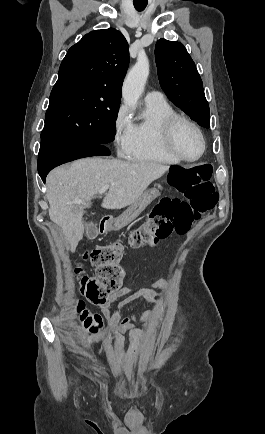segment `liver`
I'll return each mask as SVG.
<instances>
[{
	"mask_svg": "<svg viewBox=\"0 0 265 434\" xmlns=\"http://www.w3.org/2000/svg\"><path fill=\"white\" fill-rule=\"evenodd\" d=\"M169 168L162 164L103 158H84L70 166L55 168L46 178L50 220L62 228L71 252H75L84 234V206L68 202L84 200L85 206H89L102 186H110L102 208L121 210L131 206L151 182L161 178Z\"/></svg>",
	"mask_w": 265,
	"mask_h": 434,
	"instance_id": "obj_1",
	"label": "liver"
}]
</instances>
